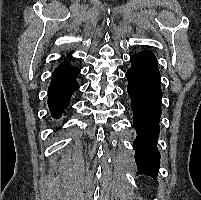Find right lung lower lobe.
I'll use <instances>...</instances> for the list:
<instances>
[{"label": "right lung lower lobe", "mask_w": 201, "mask_h": 200, "mask_svg": "<svg viewBox=\"0 0 201 200\" xmlns=\"http://www.w3.org/2000/svg\"><path fill=\"white\" fill-rule=\"evenodd\" d=\"M79 73L78 68L72 67L53 74L48 88V106L54 118L61 116L70 103L71 95L78 90L79 85L75 79Z\"/></svg>", "instance_id": "obj_1"}]
</instances>
